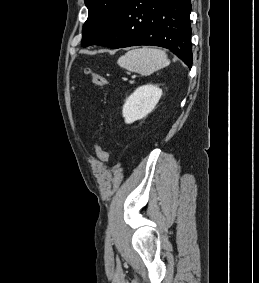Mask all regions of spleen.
<instances>
[{
    "instance_id": "3e777b00",
    "label": "spleen",
    "mask_w": 259,
    "mask_h": 283,
    "mask_svg": "<svg viewBox=\"0 0 259 283\" xmlns=\"http://www.w3.org/2000/svg\"><path fill=\"white\" fill-rule=\"evenodd\" d=\"M117 63L124 69L148 76L168 66L170 61L165 51L142 47L128 51Z\"/></svg>"
}]
</instances>
